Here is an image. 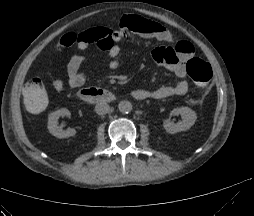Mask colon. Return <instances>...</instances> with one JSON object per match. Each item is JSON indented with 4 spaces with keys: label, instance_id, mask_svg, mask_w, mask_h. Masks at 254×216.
<instances>
[{
    "label": "colon",
    "instance_id": "colon-1",
    "mask_svg": "<svg viewBox=\"0 0 254 216\" xmlns=\"http://www.w3.org/2000/svg\"><path fill=\"white\" fill-rule=\"evenodd\" d=\"M80 39L88 44H96L106 47L112 43L108 30L93 28L79 33ZM170 54L171 50H167ZM186 71L194 83L199 87L209 84L213 76L211 65L197 57L190 58L186 63ZM25 107L31 112H40L47 105V96L39 78L30 80L23 89Z\"/></svg>",
    "mask_w": 254,
    "mask_h": 216
}]
</instances>
